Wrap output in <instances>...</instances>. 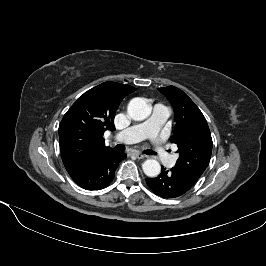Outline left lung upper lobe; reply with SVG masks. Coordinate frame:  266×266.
I'll return each mask as SVG.
<instances>
[{"label": "left lung upper lobe", "mask_w": 266, "mask_h": 266, "mask_svg": "<svg viewBox=\"0 0 266 266\" xmlns=\"http://www.w3.org/2000/svg\"><path fill=\"white\" fill-rule=\"evenodd\" d=\"M171 103L175 113L174 135L179 158L171 169L191 187L207 168L212 152V138L207 121L195 103L179 88H158Z\"/></svg>", "instance_id": "obj_1"}]
</instances>
